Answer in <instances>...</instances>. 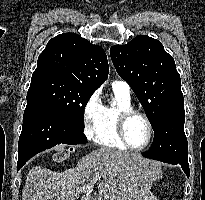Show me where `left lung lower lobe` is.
<instances>
[{
    "label": "left lung lower lobe",
    "mask_w": 205,
    "mask_h": 200,
    "mask_svg": "<svg viewBox=\"0 0 205 200\" xmlns=\"http://www.w3.org/2000/svg\"><path fill=\"white\" fill-rule=\"evenodd\" d=\"M185 111L179 106L167 112L154 130V140L143 156L162 162L180 165L189 177L187 138L184 133Z\"/></svg>",
    "instance_id": "1"
}]
</instances>
